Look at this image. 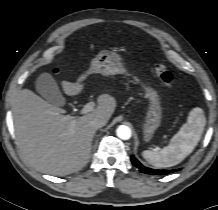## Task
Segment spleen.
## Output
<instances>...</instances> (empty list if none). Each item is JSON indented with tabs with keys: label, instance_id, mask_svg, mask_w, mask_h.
Returning a JSON list of instances; mask_svg holds the SVG:
<instances>
[{
	"label": "spleen",
	"instance_id": "3e777b00",
	"mask_svg": "<svg viewBox=\"0 0 218 210\" xmlns=\"http://www.w3.org/2000/svg\"><path fill=\"white\" fill-rule=\"evenodd\" d=\"M206 124L201 108L190 111L187 122L170 140L168 146L160 150H145L144 159L158 168L172 167L182 162L196 147Z\"/></svg>",
	"mask_w": 218,
	"mask_h": 210
}]
</instances>
